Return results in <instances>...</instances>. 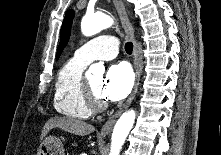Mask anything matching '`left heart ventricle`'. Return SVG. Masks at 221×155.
Wrapping results in <instances>:
<instances>
[{"label":"left heart ventricle","mask_w":221,"mask_h":155,"mask_svg":"<svg viewBox=\"0 0 221 155\" xmlns=\"http://www.w3.org/2000/svg\"><path fill=\"white\" fill-rule=\"evenodd\" d=\"M88 84L90 85L92 91L94 94L101 100H103V97L101 95V88H102V83L103 79L102 77H93L91 79L87 80Z\"/></svg>","instance_id":"obj_1"}]
</instances>
